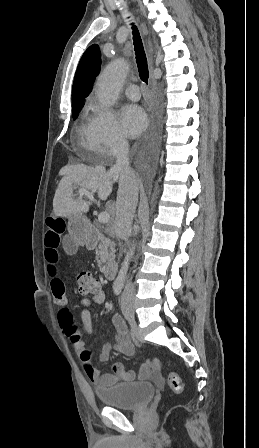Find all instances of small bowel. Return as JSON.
<instances>
[{
	"label": "small bowel",
	"mask_w": 259,
	"mask_h": 448,
	"mask_svg": "<svg viewBox=\"0 0 259 448\" xmlns=\"http://www.w3.org/2000/svg\"><path fill=\"white\" fill-rule=\"evenodd\" d=\"M64 232V224L57 219H51L47 222V228L44 235V255L48 274L50 276V288L53 301L57 306V321L64 334L72 342L75 351L78 353L84 371L91 382L99 387H110L120 380L131 381L135 378H157L160 371V361L156 358L147 360L141 367L138 374L125 371L121 363L112 364V372H101L91 361L90 351L85 347L79 330L73 323L72 313L68 308V300L65 293L64 283L58 275L59 254L58 247ZM105 301V294L101 291L97 295L85 297L80 303L83 307L81 313L82 328L85 332L93 331L91 310L95 305ZM112 324L115 328L114 344H105L100 354V360L106 362L109 360L112 352H117L124 356H132L134 347L128 334V328L123 318L117 314L112 317Z\"/></svg>",
	"instance_id": "obj_1"
}]
</instances>
